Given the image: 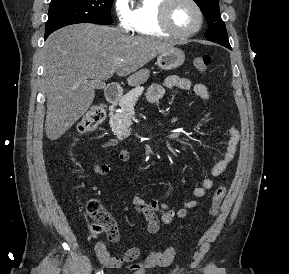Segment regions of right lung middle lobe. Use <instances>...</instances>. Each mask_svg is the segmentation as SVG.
Returning a JSON list of instances; mask_svg holds the SVG:
<instances>
[{
    "instance_id": "obj_1",
    "label": "right lung middle lobe",
    "mask_w": 289,
    "mask_h": 274,
    "mask_svg": "<svg viewBox=\"0 0 289 274\" xmlns=\"http://www.w3.org/2000/svg\"><path fill=\"white\" fill-rule=\"evenodd\" d=\"M113 0H51L45 38L53 31L71 24L110 25Z\"/></svg>"
}]
</instances>
